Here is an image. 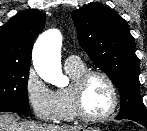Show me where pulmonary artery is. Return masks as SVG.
I'll use <instances>...</instances> for the list:
<instances>
[{
    "mask_svg": "<svg viewBox=\"0 0 147 131\" xmlns=\"http://www.w3.org/2000/svg\"><path fill=\"white\" fill-rule=\"evenodd\" d=\"M83 64L78 56L70 55L65 58V66H78Z\"/></svg>",
    "mask_w": 147,
    "mask_h": 131,
    "instance_id": "obj_1",
    "label": "pulmonary artery"
}]
</instances>
